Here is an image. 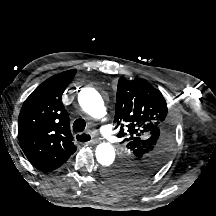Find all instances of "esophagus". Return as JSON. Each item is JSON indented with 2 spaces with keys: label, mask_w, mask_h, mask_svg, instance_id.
Here are the masks:
<instances>
[{
  "label": "esophagus",
  "mask_w": 216,
  "mask_h": 216,
  "mask_svg": "<svg viewBox=\"0 0 216 216\" xmlns=\"http://www.w3.org/2000/svg\"><path fill=\"white\" fill-rule=\"evenodd\" d=\"M81 136H84L85 138H89V140L88 141H86V142H83L84 144H95V143H97V139L96 138H94V136H92L90 133H81V134H77L76 135V139L78 138V137H81ZM78 140V139H77ZM81 142V141H80Z\"/></svg>",
  "instance_id": "34e87169"
}]
</instances>
